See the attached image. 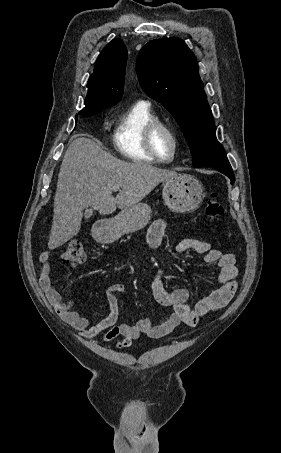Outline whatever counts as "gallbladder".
<instances>
[{
	"label": "gallbladder",
	"instance_id": "bac80fb5",
	"mask_svg": "<svg viewBox=\"0 0 281 453\" xmlns=\"http://www.w3.org/2000/svg\"><path fill=\"white\" fill-rule=\"evenodd\" d=\"M93 210H91V208H87L86 212H85V218H89V216H91Z\"/></svg>",
	"mask_w": 281,
	"mask_h": 453
}]
</instances>
